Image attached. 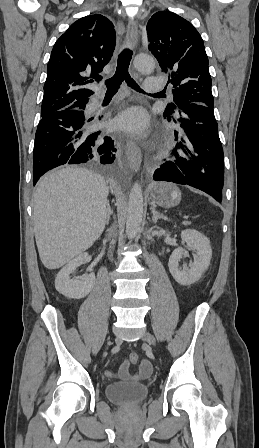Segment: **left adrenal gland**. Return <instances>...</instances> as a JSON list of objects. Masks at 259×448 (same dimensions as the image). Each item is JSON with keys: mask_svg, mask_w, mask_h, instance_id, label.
Returning a JSON list of instances; mask_svg holds the SVG:
<instances>
[{"mask_svg": "<svg viewBox=\"0 0 259 448\" xmlns=\"http://www.w3.org/2000/svg\"><path fill=\"white\" fill-rule=\"evenodd\" d=\"M152 212V220L154 222V224H157V220H160V218H162V220H168L167 216H163V214H159V212H156V210H151Z\"/></svg>", "mask_w": 259, "mask_h": 448, "instance_id": "obj_1", "label": "left adrenal gland"}]
</instances>
